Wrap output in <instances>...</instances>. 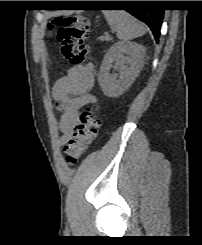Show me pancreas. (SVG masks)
Wrapping results in <instances>:
<instances>
[{
	"instance_id": "1",
	"label": "pancreas",
	"mask_w": 202,
	"mask_h": 245,
	"mask_svg": "<svg viewBox=\"0 0 202 245\" xmlns=\"http://www.w3.org/2000/svg\"><path fill=\"white\" fill-rule=\"evenodd\" d=\"M103 39H105V40H109V39H110V37L106 36V38H103Z\"/></svg>"
}]
</instances>
